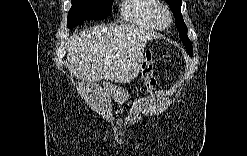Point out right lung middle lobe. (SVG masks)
<instances>
[{"label":"right lung middle lobe","instance_id":"dd1d6c3e","mask_svg":"<svg viewBox=\"0 0 247 156\" xmlns=\"http://www.w3.org/2000/svg\"><path fill=\"white\" fill-rule=\"evenodd\" d=\"M72 7L67 18V27L81 24L85 20H99L108 17L112 12L113 0H71Z\"/></svg>","mask_w":247,"mask_h":156}]
</instances>
